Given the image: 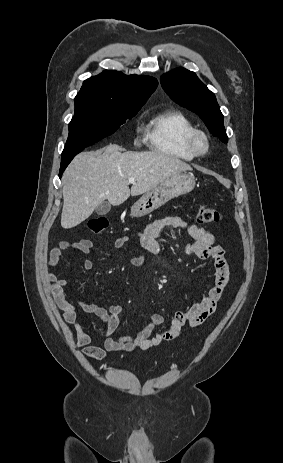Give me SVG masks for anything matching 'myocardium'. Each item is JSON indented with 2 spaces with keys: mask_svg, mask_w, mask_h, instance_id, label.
I'll return each mask as SVG.
<instances>
[{
  "mask_svg": "<svg viewBox=\"0 0 283 463\" xmlns=\"http://www.w3.org/2000/svg\"><path fill=\"white\" fill-rule=\"evenodd\" d=\"M189 146L195 155H206L210 150V143L207 134L195 129L188 139Z\"/></svg>",
  "mask_w": 283,
  "mask_h": 463,
  "instance_id": "myocardium-1",
  "label": "myocardium"
}]
</instances>
